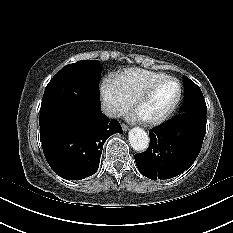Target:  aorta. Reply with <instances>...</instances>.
<instances>
[{
    "label": "aorta",
    "mask_w": 233,
    "mask_h": 233,
    "mask_svg": "<svg viewBox=\"0 0 233 233\" xmlns=\"http://www.w3.org/2000/svg\"><path fill=\"white\" fill-rule=\"evenodd\" d=\"M128 137L135 151L144 152L149 146V137L142 128L134 127L130 130Z\"/></svg>",
    "instance_id": "762f6f07"
}]
</instances>
